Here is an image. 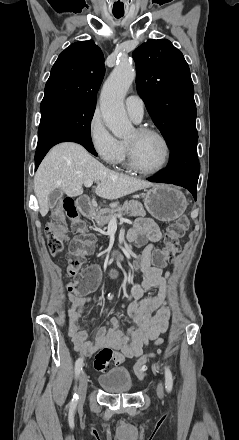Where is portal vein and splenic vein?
I'll return each mask as SVG.
<instances>
[{"mask_svg": "<svg viewBox=\"0 0 239 440\" xmlns=\"http://www.w3.org/2000/svg\"><path fill=\"white\" fill-rule=\"evenodd\" d=\"M93 182L91 180H88V182H84L85 188H90L92 186ZM120 220H122L121 216H119ZM111 222H116V218H112Z\"/></svg>", "mask_w": 239, "mask_h": 440, "instance_id": "1", "label": "portal vein and splenic vein"}]
</instances>
